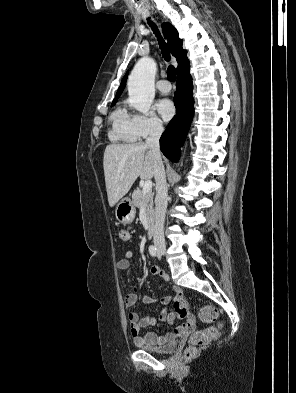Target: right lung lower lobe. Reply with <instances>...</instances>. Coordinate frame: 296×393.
<instances>
[{
    "label": "right lung lower lobe",
    "mask_w": 296,
    "mask_h": 393,
    "mask_svg": "<svg viewBox=\"0 0 296 393\" xmlns=\"http://www.w3.org/2000/svg\"><path fill=\"white\" fill-rule=\"evenodd\" d=\"M190 65H185L177 72V91L174 96L176 115L160 138V147L163 154L171 161L177 162L180 147L186 138L193 114V84L189 73Z\"/></svg>",
    "instance_id": "98d812e1"
}]
</instances>
